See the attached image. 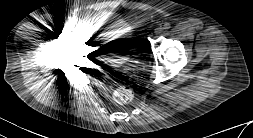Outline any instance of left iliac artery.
I'll return each instance as SVG.
<instances>
[{"instance_id": "44dca946", "label": "left iliac artery", "mask_w": 253, "mask_h": 138, "mask_svg": "<svg viewBox=\"0 0 253 138\" xmlns=\"http://www.w3.org/2000/svg\"><path fill=\"white\" fill-rule=\"evenodd\" d=\"M170 28V24L169 23H166L165 25H164V29H169Z\"/></svg>"}]
</instances>
